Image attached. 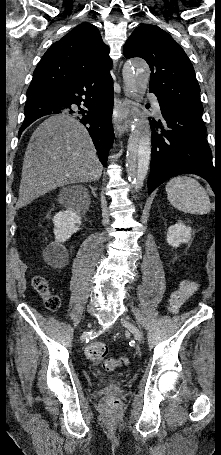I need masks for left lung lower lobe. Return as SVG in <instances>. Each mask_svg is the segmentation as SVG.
Here are the masks:
<instances>
[{"instance_id": "0a47b994", "label": "left lung lower lobe", "mask_w": 221, "mask_h": 455, "mask_svg": "<svg viewBox=\"0 0 221 455\" xmlns=\"http://www.w3.org/2000/svg\"><path fill=\"white\" fill-rule=\"evenodd\" d=\"M164 123L152 124L149 194L164 181L178 174H196L206 179L216 192L221 172L212 163V152L205 138L202 116L167 104L158 98Z\"/></svg>"}]
</instances>
